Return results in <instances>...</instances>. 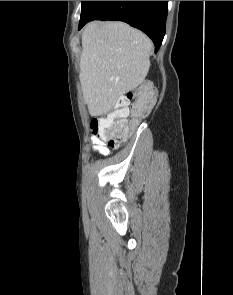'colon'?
Listing matches in <instances>:
<instances>
[{"instance_id": "obj_1", "label": "colon", "mask_w": 233, "mask_h": 295, "mask_svg": "<svg viewBox=\"0 0 233 295\" xmlns=\"http://www.w3.org/2000/svg\"><path fill=\"white\" fill-rule=\"evenodd\" d=\"M154 97L152 87L148 83L141 84L121 97L110 114L91 121L93 134L110 147L120 146L129 138L139 121L149 113Z\"/></svg>"}]
</instances>
